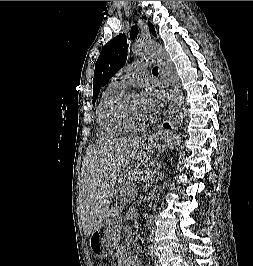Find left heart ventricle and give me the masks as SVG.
<instances>
[{"instance_id": "left-heart-ventricle-1", "label": "left heart ventricle", "mask_w": 253, "mask_h": 266, "mask_svg": "<svg viewBox=\"0 0 253 266\" xmlns=\"http://www.w3.org/2000/svg\"><path fill=\"white\" fill-rule=\"evenodd\" d=\"M124 113L126 117L133 123H139L144 120L139 96L137 94H131L124 104Z\"/></svg>"}]
</instances>
